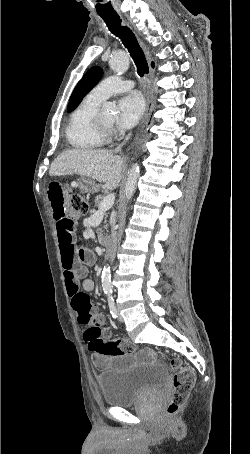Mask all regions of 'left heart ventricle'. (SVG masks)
I'll list each match as a JSON object with an SVG mask.
<instances>
[{"mask_svg": "<svg viewBox=\"0 0 250 454\" xmlns=\"http://www.w3.org/2000/svg\"><path fill=\"white\" fill-rule=\"evenodd\" d=\"M101 119L108 126H111L114 123V116L111 115H101Z\"/></svg>", "mask_w": 250, "mask_h": 454, "instance_id": "1", "label": "left heart ventricle"}]
</instances>
